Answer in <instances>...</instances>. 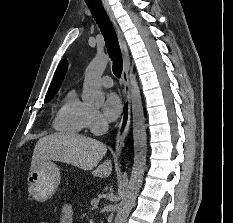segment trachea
<instances>
[{"label": "trachea", "mask_w": 233, "mask_h": 223, "mask_svg": "<svg viewBox=\"0 0 233 223\" xmlns=\"http://www.w3.org/2000/svg\"><path fill=\"white\" fill-rule=\"evenodd\" d=\"M88 7L104 37L108 54L113 61V73L117 78H120L122 73V57L115 29L102 7L101 1L88 4Z\"/></svg>", "instance_id": "1"}]
</instances>
